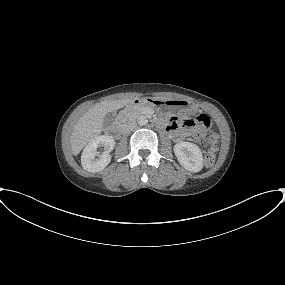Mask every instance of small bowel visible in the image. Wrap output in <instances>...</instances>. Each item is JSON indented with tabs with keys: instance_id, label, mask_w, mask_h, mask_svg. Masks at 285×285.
<instances>
[{
	"instance_id": "1",
	"label": "small bowel",
	"mask_w": 285,
	"mask_h": 285,
	"mask_svg": "<svg viewBox=\"0 0 285 285\" xmlns=\"http://www.w3.org/2000/svg\"><path fill=\"white\" fill-rule=\"evenodd\" d=\"M168 130L171 131V136L176 141L183 140L185 137V133L178 127L175 120H171Z\"/></svg>"
}]
</instances>
